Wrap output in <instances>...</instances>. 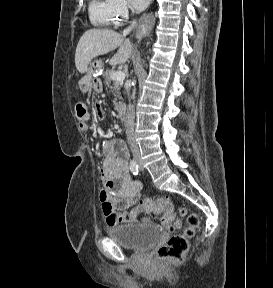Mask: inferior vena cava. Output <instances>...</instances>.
I'll return each mask as SVG.
<instances>
[{
    "instance_id": "1",
    "label": "inferior vena cava",
    "mask_w": 273,
    "mask_h": 288,
    "mask_svg": "<svg viewBox=\"0 0 273 288\" xmlns=\"http://www.w3.org/2000/svg\"><path fill=\"white\" fill-rule=\"evenodd\" d=\"M134 25H135V22H133L130 27H128L127 29H125L123 31V35L124 36L127 35L131 31V29ZM127 94H128V98L130 101V99H131L130 89H127ZM134 120H135L134 107L131 103H129L128 107H127L126 114H125V120H124L125 131H126L127 141H128V144L130 146L132 153L138 154L139 153V147H138V144L136 142L135 133H134V125H135Z\"/></svg>"
}]
</instances>
